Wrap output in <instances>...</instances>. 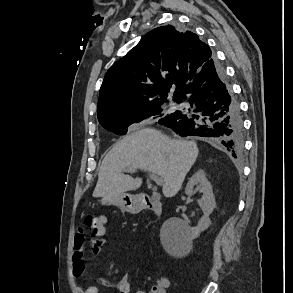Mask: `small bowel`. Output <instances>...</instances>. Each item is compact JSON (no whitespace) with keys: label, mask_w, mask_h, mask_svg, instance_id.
Listing matches in <instances>:
<instances>
[{"label":"small bowel","mask_w":293,"mask_h":293,"mask_svg":"<svg viewBox=\"0 0 293 293\" xmlns=\"http://www.w3.org/2000/svg\"><path fill=\"white\" fill-rule=\"evenodd\" d=\"M106 228L103 233L98 237H92L80 231L74 239L73 251H72V270L75 276H83L87 271V262L90 257L99 255L103 247L108 243L105 238ZM90 243V247L87 248V243ZM102 285L115 289L118 293H145L142 290H132L130 278L127 274L116 284H111L104 278H99ZM159 285L163 289V293H166V289L169 287V281L167 279H161ZM81 293H99V289L93 285H87L81 289Z\"/></svg>","instance_id":"c3829d8e"}]
</instances>
